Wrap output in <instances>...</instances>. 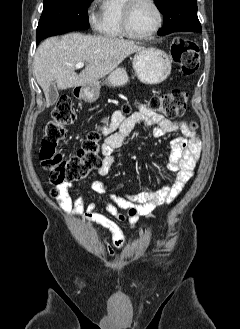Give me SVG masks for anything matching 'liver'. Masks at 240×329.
I'll use <instances>...</instances> for the list:
<instances>
[{
  "mask_svg": "<svg viewBox=\"0 0 240 329\" xmlns=\"http://www.w3.org/2000/svg\"><path fill=\"white\" fill-rule=\"evenodd\" d=\"M142 47L134 41L70 33L46 39L34 57V74L49 105V85L65 90L97 82L110 74L130 54ZM86 63L80 74L77 63Z\"/></svg>",
  "mask_w": 240,
  "mask_h": 329,
  "instance_id": "6515ba94",
  "label": "liver"
}]
</instances>
